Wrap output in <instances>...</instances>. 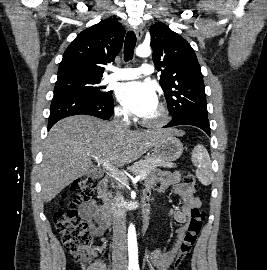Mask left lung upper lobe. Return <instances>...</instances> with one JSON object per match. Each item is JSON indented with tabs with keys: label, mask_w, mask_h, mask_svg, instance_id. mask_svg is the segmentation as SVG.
Instances as JSON below:
<instances>
[{
	"label": "left lung upper lobe",
	"mask_w": 267,
	"mask_h": 270,
	"mask_svg": "<svg viewBox=\"0 0 267 270\" xmlns=\"http://www.w3.org/2000/svg\"><path fill=\"white\" fill-rule=\"evenodd\" d=\"M149 31L152 59L161 71L160 85L173 118L208 116L203 76L193 48L163 23L151 26Z\"/></svg>",
	"instance_id": "obj_1"
}]
</instances>
